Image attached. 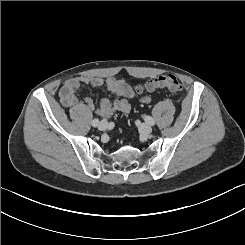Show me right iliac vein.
<instances>
[{"mask_svg": "<svg viewBox=\"0 0 245 245\" xmlns=\"http://www.w3.org/2000/svg\"><path fill=\"white\" fill-rule=\"evenodd\" d=\"M108 128V122L106 120H102L99 124H98V129L103 131L106 130Z\"/></svg>", "mask_w": 245, "mask_h": 245, "instance_id": "1", "label": "right iliac vein"}]
</instances>
